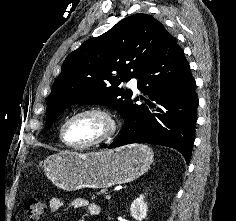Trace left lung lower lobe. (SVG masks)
Listing matches in <instances>:
<instances>
[{
    "label": "left lung lower lobe",
    "instance_id": "0a47b994",
    "mask_svg": "<svg viewBox=\"0 0 236 221\" xmlns=\"http://www.w3.org/2000/svg\"><path fill=\"white\" fill-rule=\"evenodd\" d=\"M137 86L151 101L141 105L131 101L123 114L122 134L108 148L157 144L178 150L188 163L197 121L196 84L183 50L168 32L140 73Z\"/></svg>",
    "mask_w": 236,
    "mask_h": 221
}]
</instances>
